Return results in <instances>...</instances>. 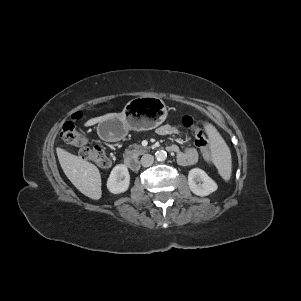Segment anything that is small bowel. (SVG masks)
I'll return each instance as SVG.
<instances>
[{"label":"small bowel","instance_id":"obj_1","mask_svg":"<svg viewBox=\"0 0 301 301\" xmlns=\"http://www.w3.org/2000/svg\"><path fill=\"white\" fill-rule=\"evenodd\" d=\"M157 134L160 136H170V135H179L180 130L178 127L166 124L163 126H160L157 129ZM175 148L176 157L180 164L183 165H191L194 164L199 157V153L197 148L195 147H186L183 150H179L176 145H170Z\"/></svg>","mask_w":301,"mask_h":301}]
</instances>
